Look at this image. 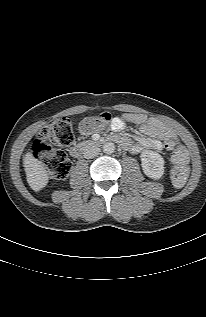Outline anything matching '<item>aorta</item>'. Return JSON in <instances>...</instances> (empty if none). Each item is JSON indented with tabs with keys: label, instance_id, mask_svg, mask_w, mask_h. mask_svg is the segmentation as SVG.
Segmentation results:
<instances>
[{
	"label": "aorta",
	"instance_id": "aorta-1",
	"mask_svg": "<svg viewBox=\"0 0 206 317\" xmlns=\"http://www.w3.org/2000/svg\"><path fill=\"white\" fill-rule=\"evenodd\" d=\"M103 151L106 154H112L115 151V145L112 142H107L103 145Z\"/></svg>",
	"mask_w": 206,
	"mask_h": 317
}]
</instances>
